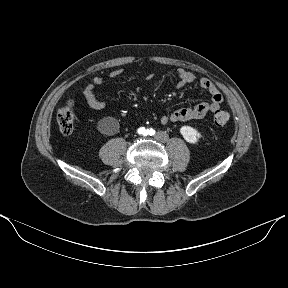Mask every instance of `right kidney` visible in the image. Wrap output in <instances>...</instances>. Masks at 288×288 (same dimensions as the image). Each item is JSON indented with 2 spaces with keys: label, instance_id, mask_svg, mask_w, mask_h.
Instances as JSON below:
<instances>
[{
  "label": "right kidney",
  "instance_id": "1",
  "mask_svg": "<svg viewBox=\"0 0 288 288\" xmlns=\"http://www.w3.org/2000/svg\"><path fill=\"white\" fill-rule=\"evenodd\" d=\"M113 119L110 117L103 118L99 121L98 129L103 134H109L111 132V123Z\"/></svg>",
  "mask_w": 288,
  "mask_h": 288
}]
</instances>
